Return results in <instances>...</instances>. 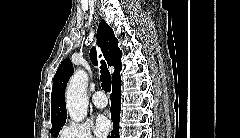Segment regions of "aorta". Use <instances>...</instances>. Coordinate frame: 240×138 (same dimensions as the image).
Listing matches in <instances>:
<instances>
[{
    "label": "aorta",
    "instance_id": "aorta-1",
    "mask_svg": "<svg viewBox=\"0 0 240 138\" xmlns=\"http://www.w3.org/2000/svg\"><path fill=\"white\" fill-rule=\"evenodd\" d=\"M88 76L82 69L77 70L71 77L66 91L67 111L72 120H84L88 112L87 99Z\"/></svg>",
    "mask_w": 240,
    "mask_h": 138
}]
</instances>
